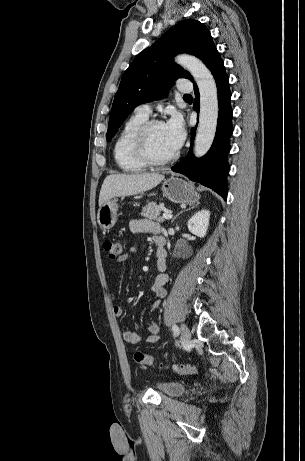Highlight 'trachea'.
Listing matches in <instances>:
<instances>
[{"label": "trachea", "instance_id": "3493384b", "mask_svg": "<svg viewBox=\"0 0 305 461\" xmlns=\"http://www.w3.org/2000/svg\"><path fill=\"white\" fill-rule=\"evenodd\" d=\"M188 97H191V95L190 94L184 95V98H188Z\"/></svg>", "mask_w": 305, "mask_h": 461}]
</instances>
